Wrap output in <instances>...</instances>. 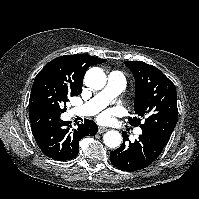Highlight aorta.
<instances>
[{
	"instance_id": "obj_1",
	"label": "aorta",
	"mask_w": 199,
	"mask_h": 199,
	"mask_svg": "<svg viewBox=\"0 0 199 199\" xmlns=\"http://www.w3.org/2000/svg\"><path fill=\"white\" fill-rule=\"evenodd\" d=\"M84 81L86 86L94 90H100L106 85L107 78L101 68L93 67L86 72ZM103 140L109 148H117L122 142V136L118 131L111 130L104 134Z\"/></svg>"
}]
</instances>
